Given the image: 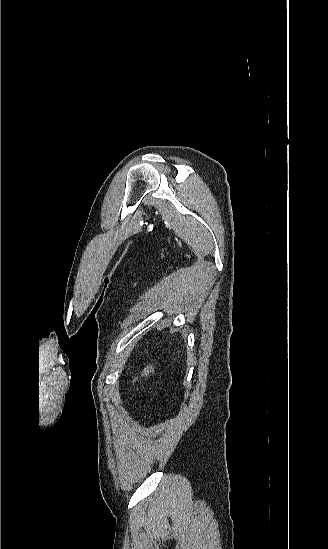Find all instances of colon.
<instances>
[{
    "label": "colon",
    "instance_id": "obj_1",
    "mask_svg": "<svg viewBox=\"0 0 328 549\" xmlns=\"http://www.w3.org/2000/svg\"><path fill=\"white\" fill-rule=\"evenodd\" d=\"M156 369V363L155 362H150L149 364H147L145 366V368L142 370L141 374L139 377L135 378L133 381H132V385H135L145 379H147L150 375L153 374V372L155 371Z\"/></svg>",
    "mask_w": 328,
    "mask_h": 549
}]
</instances>
